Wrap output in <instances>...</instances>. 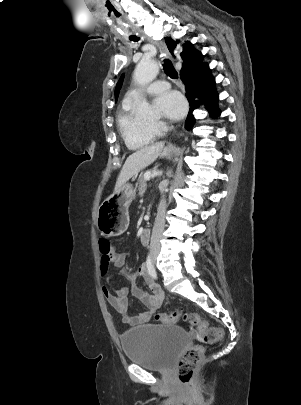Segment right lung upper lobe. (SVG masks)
Returning a JSON list of instances; mask_svg holds the SVG:
<instances>
[{
	"label": "right lung upper lobe",
	"instance_id": "cb5924a9",
	"mask_svg": "<svg viewBox=\"0 0 301 405\" xmlns=\"http://www.w3.org/2000/svg\"><path fill=\"white\" fill-rule=\"evenodd\" d=\"M165 39L169 51L173 53V50L176 47V42L170 38ZM181 57L184 59L182 70H185L198 63V61L202 58V54L196 50H193L191 48V44L187 43L184 46V51L181 53Z\"/></svg>",
	"mask_w": 301,
	"mask_h": 405
}]
</instances>
